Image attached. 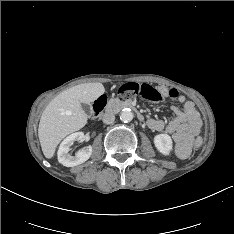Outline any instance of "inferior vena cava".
Returning a JSON list of instances; mask_svg holds the SVG:
<instances>
[{
	"label": "inferior vena cava",
	"instance_id": "obj_1",
	"mask_svg": "<svg viewBox=\"0 0 234 234\" xmlns=\"http://www.w3.org/2000/svg\"><path fill=\"white\" fill-rule=\"evenodd\" d=\"M114 120H115V115L113 113H105L102 116V121L105 124H111L114 122Z\"/></svg>",
	"mask_w": 234,
	"mask_h": 234
}]
</instances>
